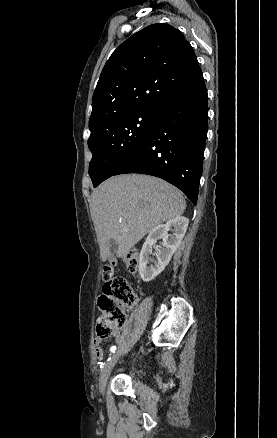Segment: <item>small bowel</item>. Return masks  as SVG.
Returning a JSON list of instances; mask_svg holds the SVG:
<instances>
[{
	"label": "small bowel",
	"mask_w": 277,
	"mask_h": 438,
	"mask_svg": "<svg viewBox=\"0 0 277 438\" xmlns=\"http://www.w3.org/2000/svg\"><path fill=\"white\" fill-rule=\"evenodd\" d=\"M112 337L114 339L115 344L120 345L122 343V335H121L120 331L117 330V331L113 332ZM92 344H93V346L98 347V346H100L101 341H100V339L95 338V339H93ZM101 355H102V349L96 350V356L98 358H100Z\"/></svg>",
	"instance_id": "small-bowel-1"
}]
</instances>
